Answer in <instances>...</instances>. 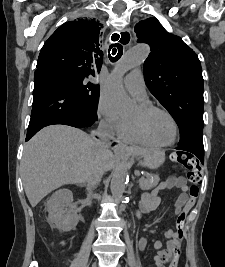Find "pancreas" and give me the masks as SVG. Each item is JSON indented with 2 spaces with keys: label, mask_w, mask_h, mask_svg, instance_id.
<instances>
[{
  "label": "pancreas",
  "mask_w": 225,
  "mask_h": 267,
  "mask_svg": "<svg viewBox=\"0 0 225 267\" xmlns=\"http://www.w3.org/2000/svg\"><path fill=\"white\" fill-rule=\"evenodd\" d=\"M159 176L157 174H147L146 178L140 183V188L142 190H150L157 186L159 183Z\"/></svg>",
  "instance_id": "1"
}]
</instances>
